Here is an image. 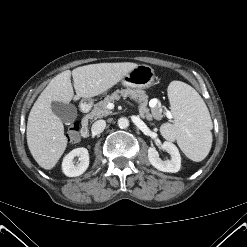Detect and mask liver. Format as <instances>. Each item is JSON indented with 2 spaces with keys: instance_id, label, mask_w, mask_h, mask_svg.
I'll use <instances>...</instances> for the list:
<instances>
[{
  "instance_id": "obj_1",
  "label": "liver",
  "mask_w": 247,
  "mask_h": 247,
  "mask_svg": "<svg viewBox=\"0 0 247 247\" xmlns=\"http://www.w3.org/2000/svg\"><path fill=\"white\" fill-rule=\"evenodd\" d=\"M137 66L131 62L90 64L73 71L66 70L54 77L34 103L28 117L27 144L35 161L42 168L50 170L67 146L64 125L51 109L53 101L69 103L71 100L100 95Z\"/></svg>"
}]
</instances>
